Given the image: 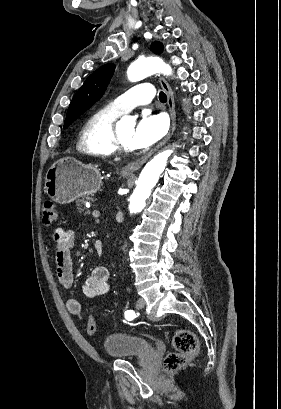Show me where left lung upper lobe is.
Wrapping results in <instances>:
<instances>
[{"instance_id": "1", "label": "left lung upper lobe", "mask_w": 281, "mask_h": 409, "mask_svg": "<svg viewBox=\"0 0 281 409\" xmlns=\"http://www.w3.org/2000/svg\"><path fill=\"white\" fill-rule=\"evenodd\" d=\"M163 46L159 42L152 44L154 53H161ZM114 64H106L94 71L84 82L82 87L73 97L68 108L64 128H67L81 114L98 101L105 92L107 85L113 75Z\"/></svg>"}]
</instances>
